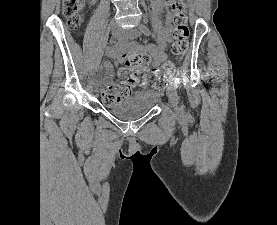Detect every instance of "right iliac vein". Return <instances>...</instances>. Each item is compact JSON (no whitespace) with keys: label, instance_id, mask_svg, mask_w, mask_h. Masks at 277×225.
<instances>
[{"label":"right iliac vein","instance_id":"obj_1","mask_svg":"<svg viewBox=\"0 0 277 225\" xmlns=\"http://www.w3.org/2000/svg\"><path fill=\"white\" fill-rule=\"evenodd\" d=\"M112 36L114 39H119L124 37V32L120 28H113L112 29ZM99 88L98 83L94 84V91L97 92Z\"/></svg>","mask_w":277,"mask_h":225}]
</instances>
